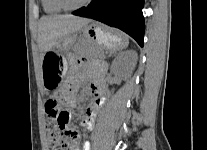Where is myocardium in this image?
Returning <instances> with one entry per match:
<instances>
[{
  "label": "myocardium",
  "instance_id": "1",
  "mask_svg": "<svg viewBox=\"0 0 207 150\" xmlns=\"http://www.w3.org/2000/svg\"><path fill=\"white\" fill-rule=\"evenodd\" d=\"M54 3L62 10L66 11H74L78 10L86 5H88L92 0H83L81 3L77 5H68L65 0H53Z\"/></svg>",
  "mask_w": 207,
  "mask_h": 150
}]
</instances>
